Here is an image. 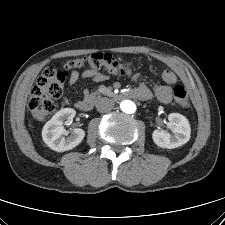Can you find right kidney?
Masks as SVG:
<instances>
[{"label":"right kidney","instance_id":"1","mask_svg":"<svg viewBox=\"0 0 225 225\" xmlns=\"http://www.w3.org/2000/svg\"><path fill=\"white\" fill-rule=\"evenodd\" d=\"M76 111L72 108L59 110L43 127L42 138L52 150L63 152L78 146L84 139L85 132L80 128L72 130L70 136L63 127L64 121L69 122L75 117Z\"/></svg>","mask_w":225,"mask_h":225}]
</instances>
